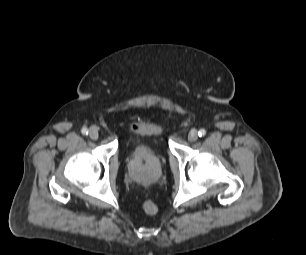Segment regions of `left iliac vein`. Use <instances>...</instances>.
I'll list each match as a JSON object with an SVG mask.
<instances>
[{"mask_svg":"<svg viewBox=\"0 0 306 255\" xmlns=\"http://www.w3.org/2000/svg\"><path fill=\"white\" fill-rule=\"evenodd\" d=\"M197 138H198L197 131L195 129L191 130L188 134V140L190 142H194L197 140Z\"/></svg>","mask_w":306,"mask_h":255,"instance_id":"left-iliac-vein-1","label":"left iliac vein"}]
</instances>
